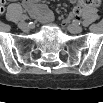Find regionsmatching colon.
<instances>
[{
    "instance_id": "colon-1",
    "label": "colon",
    "mask_w": 103,
    "mask_h": 103,
    "mask_svg": "<svg viewBox=\"0 0 103 103\" xmlns=\"http://www.w3.org/2000/svg\"><path fill=\"white\" fill-rule=\"evenodd\" d=\"M100 5L99 0H86V1H81L79 3V5L75 8L74 10V14L78 15L80 13V10L82 7L85 6H94V7H98ZM2 11V9H0Z\"/></svg>"
}]
</instances>
